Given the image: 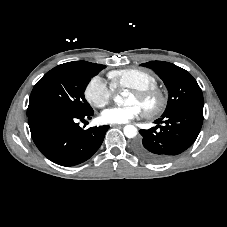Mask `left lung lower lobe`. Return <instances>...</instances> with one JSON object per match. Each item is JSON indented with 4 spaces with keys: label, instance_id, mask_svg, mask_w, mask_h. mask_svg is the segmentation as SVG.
Here are the masks:
<instances>
[{
    "label": "left lung lower lobe",
    "instance_id": "1",
    "mask_svg": "<svg viewBox=\"0 0 227 227\" xmlns=\"http://www.w3.org/2000/svg\"><path fill=\"white\" fill-rule=\"evenodd\" d=\"M155 123L164 125L148 130L141 129L139 132L142 137L135 142L134 150L149 162L164 163L195 142L203 123V111L179 110L161 116ZM158 127L160 129L156 131Z\"/></svg>",
    "mask_w": 227,
    "mask_h": 227
}]
</instances>
